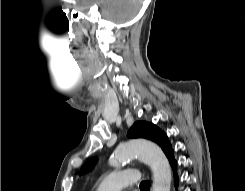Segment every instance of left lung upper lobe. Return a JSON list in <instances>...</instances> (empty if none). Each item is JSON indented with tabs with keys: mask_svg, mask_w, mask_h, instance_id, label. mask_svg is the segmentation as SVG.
<instances>
[{
	"mask_svg": "<svg viewBox=\"0 0 245 191\" xmlns=\"http://www.w3.org/2000/svg\"><path fill=\"white\" fill-rule=\"evenodd\" d=\"M127 136L129 138H145L156 142L168 157L172 151V146L168 140L167 135L152 123L145 121H137L129 129ZM97 161V158L88 160L82 167L80 174L87 172Z\"/></svg>",
	"mask_w": 245,
	"mask_h": 191,
	"instance_id": "1",
	"label": "left lung upper lobe"
}]
</instances>
